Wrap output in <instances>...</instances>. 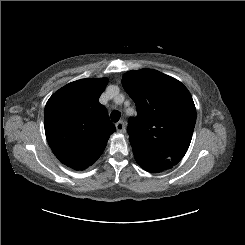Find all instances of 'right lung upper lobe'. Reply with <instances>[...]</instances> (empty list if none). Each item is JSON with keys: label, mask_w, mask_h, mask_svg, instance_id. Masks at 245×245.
<instances>
[{"label": "right lung upper lobe", "mask_w": 245, "mask_h": 245, "mask_svg": "<svg viewBox=\"0 0 245 245\" xmlns=\"http://www.w3.org/2000/svg\"><path fill=\"white\" fill-rule=\"evenodd\" d=\"M106 78L71 82L47 101L45 134L55 156L70 168L84 170L103 153L115 132L107 111L98 102Z\"/></svg>", "instance_id": "obj_1"}]
</instances>
